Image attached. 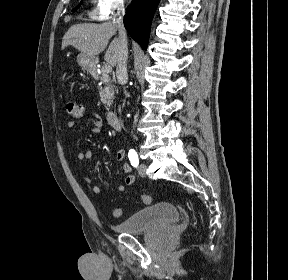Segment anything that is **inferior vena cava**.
<instances>
[{"mask_svg":"<svg viewBox=\"0 0 288 280\" xmlns=\"http://www.w3.org/2000/svg\"><path fill=\"white\" fill-rule=\"evenodd\" d=\"M125 14V8L123 3L118 4L117 13L114 17L113 24L116 26L119 32L120 48L117 58L116 76L118 83L125 85L127 83V59H128V46L127 35L123 24V16Z\"/></svg>","mask_w":288,"mask_h":280,"instance_id":"inferior-vena-cava-1","label":"inferior vena cava"}]
</instances>
